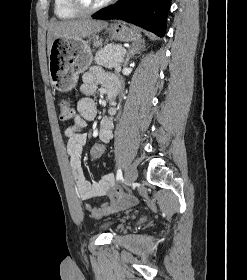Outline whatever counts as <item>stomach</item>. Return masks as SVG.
<instances>
[{"instance_id": "stomach-1", "label": "stomach", "mask_w": 247, "mask_h": 280, "mask_svg": "<svg viewBox=\"0 0 247 280\" xmlns=\"http://www.w3.org/2000/svg\"><path fill=\"white\" fill-rule=\"evenodd\" d=\"M107 31L113 40L122 42L139 41L140 33L133 27L122 22L111 24ZM98 36L88 40L82 38H55L49 54V77L53 87L66 92L75 87L79 74L84 72L92 63L93 55L90 41L95 47L101 45Z\"/></svg>"}]
</instances>
